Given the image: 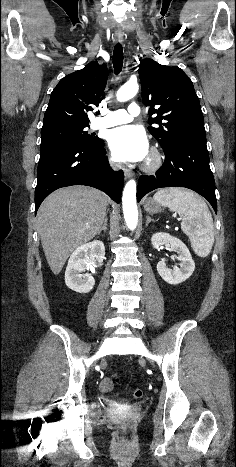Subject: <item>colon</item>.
I'll return each instance as SVG.
<instances>
[{
	"label": "colon",
	"mask_w": 236,
	"mask_h": 467,
	"mask_svg": "<svg viewBox=\"0 0 236 467\" xmlns=\"http://www.w3.org/2000/svg\"><path fill=\"white\" fill-rule=\"evenodd\" d=\"M116 380L118 381L119 379L116 378ZM132 394L135 398H141L143 396V391L140 388H135L132 390ZM121 436L124 441H127L129 439V434L126 430L122 431Z\"/></svg>",
	"instance_id": "1"
}]
</instances>
